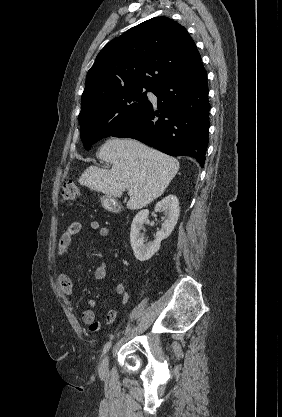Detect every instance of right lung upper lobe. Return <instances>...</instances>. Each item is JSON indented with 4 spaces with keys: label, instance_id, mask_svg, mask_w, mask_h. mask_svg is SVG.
<instances>
[{
    "label": "right lung upper lobe",
    "instance_id": "1",
    "mask_svg": "<svg viewBox=\"0 0 282 417\" xmlns=\"http://www.w3.org/2000/svg\"><path fill=\"white\" fill-rule=\"evenodd\" d=\"M200 63L186 29L168 17H155L105 45L87 73L82 100L134 87L155 90Z\"/></svg>",
    "mask_w": 282,
    "mask_h": 417
}]
</instances>
